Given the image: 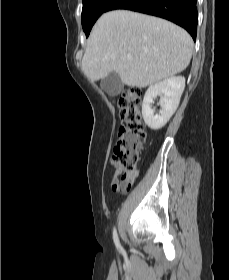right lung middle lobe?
Here are the masks:
<instances>
[{
    "label": "right lung middle lobe",
    "mask_w": 229,
    "mask_h": 280,
    "mask_svg": "<svg viewBox=\"0 0 229 280\" xmlns=\"http://www.w3.org/2000/svg\"><path fill=\"white\" fill-rule=\"evenodd\" d=\"M114 0H83L82 27L88 37L90 30L99 16L107 11Z\"/></svg>",
    "instance_id": "1"
}]
</instances>
